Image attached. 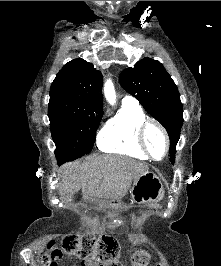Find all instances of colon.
Segmentation results:
<instances>
[{
  "label": "colon",
  "mask_w": 221,
  "mask_h": 266,
  "mask_svg": "<svg viewBox=\"0 0 221 266\" xmlns=\"http://www.w3.org/2000/svg\"><path fill=\"white\" fill-rule=\"evenodd\" d=\"M54 243H50L49 252L43 257L44 266H48L51 262V258H70L76 257L84 262L95 261L100 262V266H122L117 260L119 253V246L117 241L111 236H78L67 235L61 246L65 247L64 251H53L52 247ZM52 252H60V257H52ZM63 253H69V256H63ZM149 261V255L139 250L132 256L133 266H147Z\"/></svg>",
  "instance_id": "colon-1"
}]
</instances>
